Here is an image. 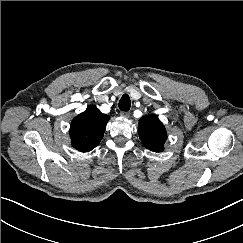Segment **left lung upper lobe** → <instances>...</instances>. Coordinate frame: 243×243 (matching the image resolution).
<instances>
[{"mask_svg":"<svg viewBox=\"0 0 243 243\" xmlns=\"http://www.w3.org/2000/svg\"><path fill=\"white\" fill-rule=\"evenodd\" d=\"M138 132L145 148L160 152L163 151L167 133L162 122L153 114L139 120Z\"/></svg>","mask_w":243,"mask_h":243,"instance_id":"obj_1","label":"left lung upper lobe"}]
</instances>
